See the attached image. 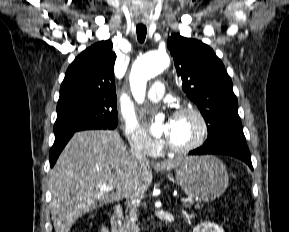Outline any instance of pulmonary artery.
I'll return each instance as SVG.
<instances>
[{
	"mask_svg": "<svg viewBox=\"0 0 289 232\" xmlns=\"http://www.w3.org/2000/svg\"><path fill=\"white\" fill-rule=\"evenodd\" d=\"M165 87L160 81L155 82L147 93V98L150 101L157 102L160 101L164 95Z\"/></svg>",
	"mask_w": 289,
	"mask_h": 232,
	"instance_id": "1",
	"label": "pulmonary artery"
}]
</instances>
